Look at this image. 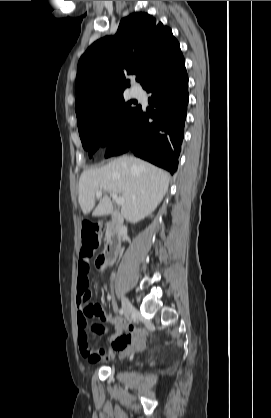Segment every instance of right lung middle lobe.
Returning <instances> with one entry per match:
<instances>
[{"label": "right lung middle lobe", "instance_id": "dd1d6c3e", "mask_svg": "<svg viewBox=\"0 0 271 418\" xmlns=\"http://www.w3.org/2000/svg\"><path fill=\"white\" fill-rule=\"evenodd\" d=\"M136 102H125L119 95L85 114L77 116L79 135L83 148L94 152L106 146L109 138L121 129L140 108ZM92 157V154L89 155Z\"/></svg>", "mask_w": 271, "mask_h": 418}]
</instances>
